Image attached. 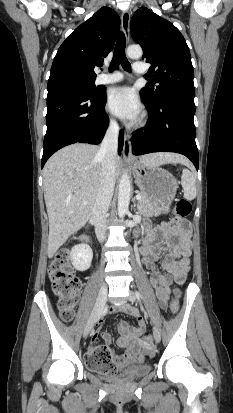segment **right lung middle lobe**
<instances>
[{"instance_id": "obj_1", "label": "right lung middle lobe", "mask_w": 233, "mask_h": 413, "mask_svg": "<svg viewBox=\"0 0 233 413\" xmlns=\"http://www.w3.org/2000/svg\"><path fill=\"white\" fill-rule=\"evenodd\" d=\"M94 82V78L63 77L48 81L47 89L48 91L65 88L75 89L91 98L98 99L103 96V92L97 90Z\"/></svg>"}]
</instances>
